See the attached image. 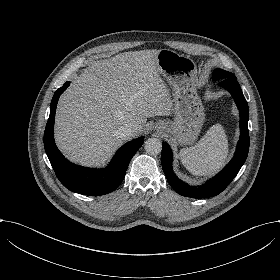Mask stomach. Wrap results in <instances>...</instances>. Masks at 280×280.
I'll use <instances>...</instances> for the list:
<instances>
[{
    "label": "stomach",
    "mask_w": 280,
    "mask_h": 280,
    "mask_svg": "<svg viewBox=\"0 0 280 280\" xmlns=\"http://www.w3.org/2000/svg\"><path fill=\"white\" fill-rule=\"evenodd\" d=\"M157 71L172 88L174 120L168 122L171 142L192 145L205 120L204 107L197 94L198 76L195 62L170 49H161L156 56ZM158 123L155 124V130Z\"/></svg>",
    "instance_id": "stomach-1"
}]
</instances>
